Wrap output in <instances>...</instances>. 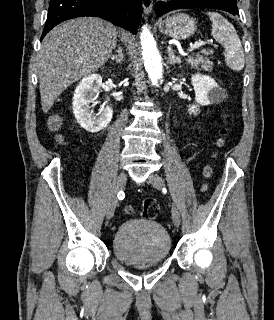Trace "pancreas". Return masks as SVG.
Masks as SVG:
<instances>
[{"label": "pancreas", "mask_w": 274, "mask_h": 320, "mask_svg": "<svg viewBox=\"0 0 274 320\" xmlns=\"http://www.w3.org/2000/svg\"><path fill=\"white\" fill-rule=\"evenodd\" d=\"M213 52L211 50H202L201 54H195V56H189L187 62L193 68H198V66H202L203 70L206 72H210L212 70L213 62H211L210 58L207 56H211Z\"/></svg>", "instance_id": "cf45deb5"}]
</instances>
